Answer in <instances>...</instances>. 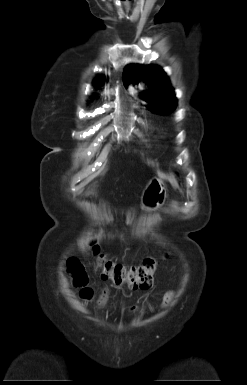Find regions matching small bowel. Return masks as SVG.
I'll return each mask as SVG.
<instances>
[{
    "label": "small bowel",
    "mask_w": 247,
    "mask_h": 385,
    "mask_svg": "<svg viewBox=\"0 0 247 385\" xmlns=\"http://www.w3.org/2000/svg\"><path fill=\"white\" fill-rule=\"evenodd\" d=\"M173 297H174V292L171 291V290H170V291H167V292L164 294V297H163V301H162V303H161V306H162V307H167V306L171 303V301L173 300ZM109 298H110V288H109V287H105V288L101 291V293H100V295H99V298H98V300H97V302H96L97 309H98V310L103 309V308L106 306V304H107ZM137 310H138V306H136V305H133V306H131V307L129 308V311H130V312H135V311H137Z\"/></svg>",
    "instance_id": "1"
}]
</instances>
